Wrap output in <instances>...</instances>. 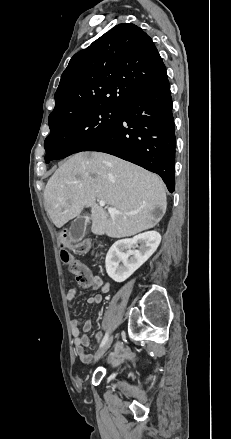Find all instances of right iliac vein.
I'll use <instances>...</instances> for the list:
<instances>
[{
	"label": "right iliac vein",
	"mask_w": 231,
	"mask_h": 439,
	"mask_svg": "<svg viewBox=\"0 0 231 439\" xmlns=\"http://www.w3.org/2000/svg\"><path fill=\"white\" fill-rule=\"evenodd\" d=\"M113 341V336L109 337L106 343L96 352L94 356V361L99 360L109 349Z\"/></svg>",
	"instance_id": "obj_1"
}]
</instances>
